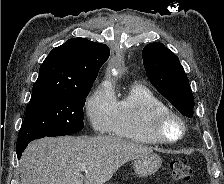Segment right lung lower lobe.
I'll list each match as a JSON object with an SVG mask.
<instances>
[{
	"label": "right lung lower lobe",
	"mask_w": 224,
	"mask_h": 184,
	"mask_svg": "<svg viewBox=\"0 0 224 184\" xmlns=\"http://www.w3.org/2000/svg\"><path fill=\"white\" fill-rule=\"evenodd\" d=\"M28 144V143H27ZM27 144H23L20 146H16V152H17V157L18 159H20L22 152L25 150V148L27 147Z\"/></svg>",
	"instance_id": "1"
}]
</instances>
